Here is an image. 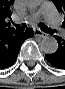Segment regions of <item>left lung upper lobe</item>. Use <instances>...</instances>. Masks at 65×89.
Segmentation results:
<instances>
[{
  "label": "left lung upper lobe",
  "mask_w": 65,
  "mask_h": 89,
  "mask_svg": "<svg viewBox=\"0 0 65 89\" xmlns=\"http://www.w3.org/2000/svg\"><path fill=\"white\" fill-rule=\"evenodd\" d=\"M54 3L57 5L60 12L65 11V0H54ZM62 25L65 26V19Z\"/></svg>",
  "instance_id": "1"
}]
</instances>
